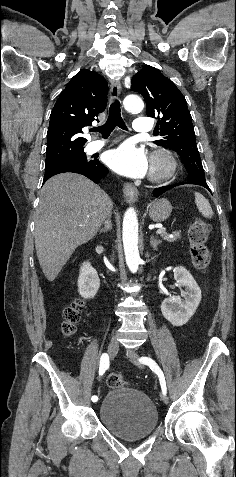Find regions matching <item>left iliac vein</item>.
<instances>
[{
	"label": "left iliac vein",
	"instance_id": "obj_1",
	"mask_svg": "<svg viewBox=\"0 0 236 477\" xmlns=\"http://www.w3.org/2000/svg\"><path fill=\"white\" fill-rule=\"evenodd\" d=\"M127 355H128V357L130 358V360H131L136 366L141 367V368L143 367V365H141V363H139V361H138V355L136 354L135 351L129 350V351H127ZM162 400H163V402L165 403L164 405L166 406V405H167L166 403L168 402V397L166 396V394H162Z\"/></svg>",
	"mask_w": 236,
	"mask_h": 477
}]
</instances>
